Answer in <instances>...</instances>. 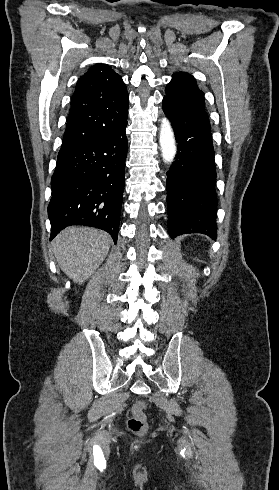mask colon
Wrapping results in <instances>:
<instances>
[{"label": "colon", "instance_id": "obj_1", "mask_svg": "<svg viewBox=\"0 0 279 490\" xmlns=\"http://www.w3.org/2000/svg\"><path fill=\"white\" fill-rule=\"evenodd\" d=\"M146 403L144 400H137L131 409V416L128 420V427L134 434L143 433L147 429L146 425Z\"/></svg>", "mask_w": 279, "mask_h": 490}]
</instances>
